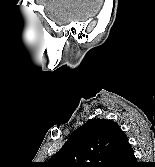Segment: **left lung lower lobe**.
<instances>
[{"label":"left lung lower lobe","mask_w":155,"mask_h":167,"mask_svg":"<svg viewBox=\"0 0 155 167\" xmlns=\"http://www.w3.org/2000/svg\"><path fill=\"white\" fill-rule=\"evenodd\" d=\"M132 161H135L134 152L126 139L120 144L117 157L111 167H127Z\"/></svg>","instance_id":"0a47b994"}]
</instances>
